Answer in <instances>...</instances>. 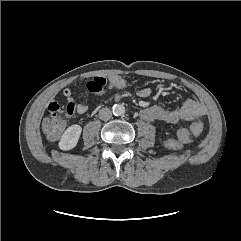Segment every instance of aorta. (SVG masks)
Listing matches in <instances>:
<instances>
[{
	"instance_id": "1",
	"label": "aorta",
	"mask_w": 241,
	"mask_h": 241,
	"mask_svg": "<svg viewBox=\"0 0 241 241\" xmlns=\"http://www.w3.org/2000/svg\"><path fill=\"white\" fill-rule=\"evenodd\" d=\"M112 110L115 116H122L125 113V107L120 104H115Z\"/></svg>"
}]
</instances>
